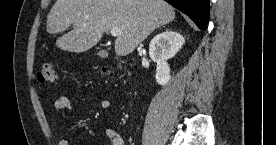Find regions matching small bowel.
Here are the masks:
<instances>
[{
  "label": "small bowel",
  "instance_id": "small-bowel-1",
  "mask_svg": "<svg viewBox=\"0 0 276 145\" xmlns=\"http://www.w3.org/2000/svg\"><path fill=\"white\" fill-rule=\"evenodd\" d=\"M99 104L102 108H108L110 103L107 99H100ZM54 109L63 111L65 109H74L75 105L65 96H58L54 101ZM105 136L109 139L112 145H124L122 134L117 129H106ZM58 145H69L67 139H60Z\"/></svg>",
  "mask_w": 276,
  "mask_h": 145
}]
</instances>
